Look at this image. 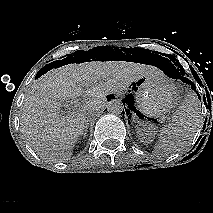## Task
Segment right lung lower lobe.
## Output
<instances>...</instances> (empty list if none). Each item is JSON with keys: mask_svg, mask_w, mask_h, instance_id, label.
<instances>
[{"mask_svg": "<svg viewBox=\"0 0 213 213\" xmlns=\"http://www.w3.org/2000/svg\"><path fill=\"white\" fill-rule=\"evenodd\" d=\"M51 64H58V61H55V62H53V63H51ZM50 65V64H49ZM47 66H45L44 68H42L38 73H37V75H36V78H38V77H40L43 73H44V71H46V70H49L50 68H47Z\"/></svg>", "mask_w": 213, "mask_h": 213, "instance_id": "right-lung-lower-lobe-1", "label": "right lung lower lobe"}]
</instances>
